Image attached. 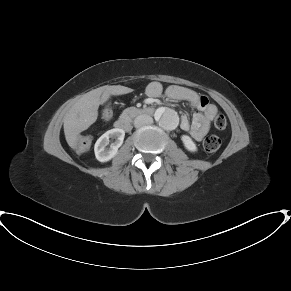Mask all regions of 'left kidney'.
I'll use <instances>...</instances> for the list:
<instances>
[{"label":"left kidney","instance_id":"left-kidney-1","mask_svg":"<svg viewBox=\"0 0 291 291\" xmlns=\"http://www.w3.org/2000/svg\"><path fill=\"white\" fill-rule=\"evenodd\" d=\"M181 140L185 146V148L190 151V152H196L197 147L196 144L193 142V140L187 136V135H182Z\"/></svg>","mask_w":291,"mask_h":291}]
</instances>
